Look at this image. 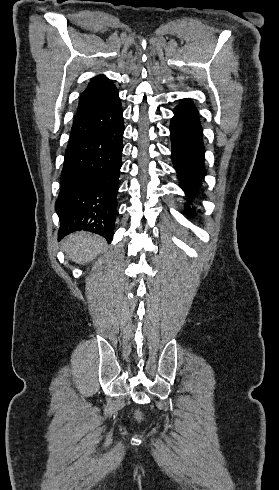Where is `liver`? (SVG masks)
<instances>
[{
	"instance_id": "6515ba94",
	"label": "liver",
	"mask_w": 279,
	"mask_h": 490,
	"mask_svg": "<svg viewBox=\"0 0 279 490\" xmlns=\"http://www.w3.org/2000/svg\"><path fill=\"white\" fill-rule=\"evenodd\" d=\"M62 244L67 258H71L75 264L92 262L99 256L100 252L107 248L104 238L97 236V234H90V232L70 234L64 238Z\"/></svg>"
}]
</instances>
